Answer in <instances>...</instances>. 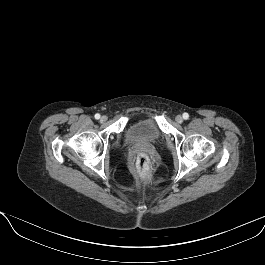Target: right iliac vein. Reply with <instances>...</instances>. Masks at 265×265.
<instances>
[{
    "label": "right iliac vein",
    "mask_w": 265,
    "mask_h": 265,
    "mask_svg": "<svg viewBox=\"0 0 265 265\" xmlns=\"http://www.w3.org/2000/svg\"><path fill=\"white\" fill-rule=\"evenodd\" d=\"M101 122H106L107 121V117L106 116H102L100 119Z\"/></svg>",
    "instance_id": "1"
}]
</instances>
